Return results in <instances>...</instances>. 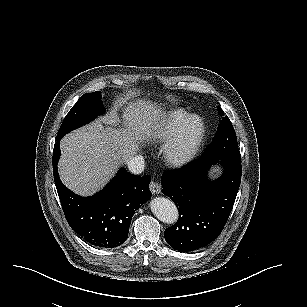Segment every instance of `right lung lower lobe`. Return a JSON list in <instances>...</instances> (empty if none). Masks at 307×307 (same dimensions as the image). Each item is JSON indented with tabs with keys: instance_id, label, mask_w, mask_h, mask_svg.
<instances>
[{
	"instance_id": "right-lung-lower-lobe-1",
	"label": "right lung lower lobe",
	"mask_w": 307,
	"mask_h": 307,
	"mask_svg": "<svg viewBox=\"0 0 307 307\" xmlns=\"http://www.w3.org/2000/svg\"><path fill=\"white\" fill-rule=\"evenodd\" d=\"M59 141L53 150V172L68 224L92 246H120L128 237L131 218L138 206L151 197L148 188L151 177L134 176L121 168L103 190L91 197H80L67 189L58 176Z\"/></svg>"
}]
</instances>
